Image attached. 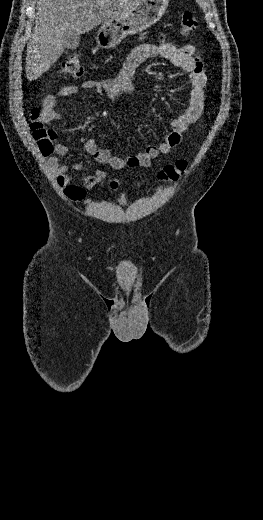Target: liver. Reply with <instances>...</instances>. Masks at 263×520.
Returning a JSON list of instances; mask_svg holds the SVG:
<instances>
[{"label":"liver","instance_id":"1","mask_svg":"<svg viewBox=\"0 0 263 520\" xmlns=\"http://www.w3.org/2000/svg\"><path fill=\"white\" fill-rule=\"evenodd\" d=\"M142 0H38L33 34L27 44L26 77L36 80L64 51L63 36L85 34L117 19Z\"/></svg>","mask_w":263,"mask_h":520}]
</instances>
